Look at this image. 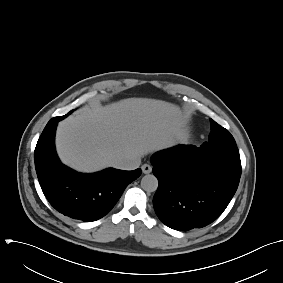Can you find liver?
I'll list each match as a JSON object with an SVG mask.
<instances>
[{
	"label": "liver",
	"mask_w": 283,
	"mask_h": 283,
	"mask_svg": "<svg viewBox=\"0 0 283 283\" xmlns=\"http://www.w3.org/2000/svg\"><path fill=\"white\" fill-rule=\"evenodd\" d=\"M173 104L129 98L96 105L61 121L56 147L63 163L82 172L113 166L120 158H141L166 147L181 132Z\"/></svg>",
	"instance_id": "1"
}]
</instances>
